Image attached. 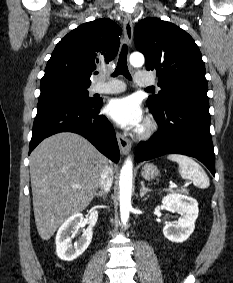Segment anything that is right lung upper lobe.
Wrapping results in <instances>:
<instances>
[{
  "instance_id": "1",
  "label": "right lung upper lobe",
  "mask_w": 233,
  "mask_h": 283,
  "mask_svg": "<svg viewBox=\"0 0 233 283\" xmlns=\"http://www.w3.org/2000/svg\"><path fill=\"white\" fill-rule=\"evenodd\" d=\"M120 27L109 18L80 25L56 45L41 82L67 80L90 86L94 70H105L120 45Z\"/></svg>"
}]
</instances>
